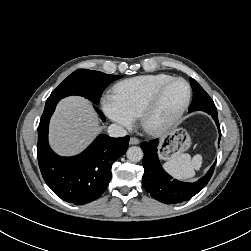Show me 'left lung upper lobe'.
Segmentation results:
<instances>
[{
    "instance_id": "1",
    "label": "left lung upper lobe",
    "mask_w": 251,
    "mask_h": 251,
    "mask_svg": "<svg viewBox=\"0 0 251 251\" xmlns=\"http://www.w3.org/2000/svg\"><path fill=\"white\" fill-rule=\"evenodd\" d=\"M190 83L193 90V100L189 107V112L199 110V107L202 106L206 112L217 113L213 100L205 90L192 78H190Z\"/></svg>"
}]
</instances>
